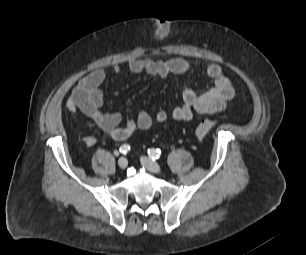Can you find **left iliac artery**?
I'll return each mask as SVG.
<instances>
[{
  "label": "left iliac artery",
  "instance_id": "44dca946",
  "mask_svg": "<svg viewBox=\"0 0 306 255\" xmlns=\"http://www.w3.org/2000/svg\"><path fill=\"white\" fill-rule=\"evenodd\" d=\"M148 155L152 160L158 159L161 156V150L159 149H148Z\"/></svg>",
  "mask_w": 306,
  "mask_h": 255
}]
</instances>
